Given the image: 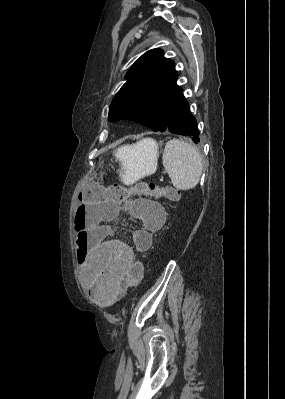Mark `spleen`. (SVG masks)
Listing matches in <instances>:
<instances>
[{
  "mask_svg": "<svg viewBox=\"0 0 285 399\" xmlns=\"http://www.w3.org/2000/svg\"><path fill=\"white\" fill-rule=\"evenodd\" d=\"M162 162L176 189L189 190L199 183L202 158L193 145L179 139L169 140L164 148Z\"/></svg>",
  "mask_w": 285,
  "mask_h": 399,
  "instance_id": "1",
  "label": "spleen"
}]
</instances>
